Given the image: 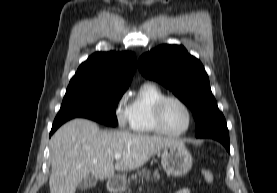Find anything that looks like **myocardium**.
I'll return each mask as SVG.
<instances>
[{"mask_svg": "<svg viewBox=\"0 0 277 193\" xmlns=\"http://www.w3.org/2000/svg\"><path fill=\"white\" fill-rule=\"evenodd\" d=\"M168 101H176L180 105H182L183 108L186 110L187 115H188V123H187V126L183 130L170 131L166 128V126L164 124V119H163V109H164L165 104ZM154 121H155V125H156V128L159 131V133L167 135V136H181L190 130V128L193 124V113H192V110L189 107V105L183 99H181L180 97L174 96V95H166V96L162 97L155 105Z\"/></svg>", "mask_w": 277, "mask_h": 193, "instance_id": "myocardium-1", "label": "myocardium"}]
</instances>
